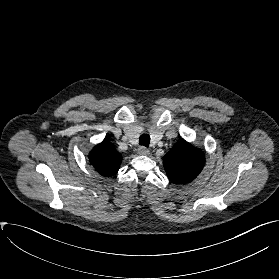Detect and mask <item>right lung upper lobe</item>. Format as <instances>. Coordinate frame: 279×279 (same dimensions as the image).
Returning <instances> with one entry per match:
<instances>
[{
	"mask_svg": "<svg viewBox=\"0 0 279 279\" xmlns=\"http://www.w3.org/2000/svg\"><path fill=\"white\" fill-rule=\"evenodd\" d=\"M90 163L102 175L108 177L118 172L122 156L108 140L96 145L89 154Z\"/></svg>",
	"mask_w": 279,
	"mask_h": 279,
	"instance_id": "right-lung-upper-lobe-1",
	"label": "right lung upper lobe"
}]
</instances>
